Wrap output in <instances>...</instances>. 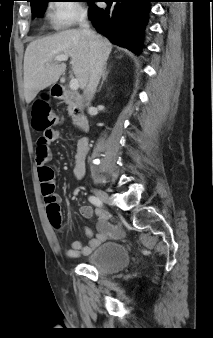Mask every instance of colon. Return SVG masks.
Returning <instances> with one entry per match:
<instances>
[{"instance_id": "5ec220e1", "label": "colon", "mask_w": 213, "mask_h": 338, "mask_svg": "<svg viewBox=\"0 0 213 338\" xmlns=\"http://www.w3.org/2000/svg\"><path fill=\"white\" fill-rule=\"evenodd\" d=\"M60 123L59 117L52 111L45 99H37L33 103V128L43 132L46 136L52 135V128ZM39 180L44 202L49 204L54 197V174L50 168L39 170ZM61 221V216L56 208L50 211V222L57 226Z\"/></svg>"}]
</instances>
